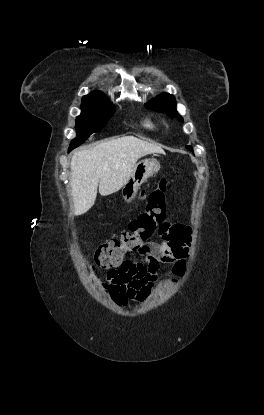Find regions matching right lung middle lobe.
Listing matches in <instances>:
<instances>
[{"mask_svg": "<svg viewBox=\"0 0 264 415\" xmlns=\"http://www.w3.org/2000/svg\"><path fill=\"white\" fill-rule=\"evenodd\" d=\"M81 110L76 118L77 138L71 142L69 151L84 143L92 133L100 131L114 114L107 98L82 100Z\"/></svg>", "mask_w": 264, "mask_h": 415, "instance_id": "obj_1", "label": "right lung middle lobe"}]
</instances>
